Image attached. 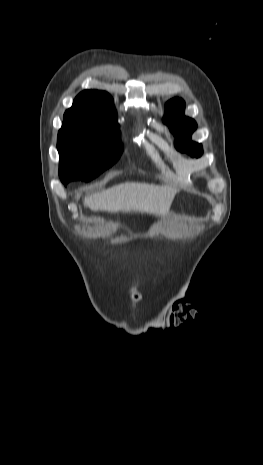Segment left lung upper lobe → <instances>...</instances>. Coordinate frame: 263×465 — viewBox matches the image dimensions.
Wrapping results in <instances>:
<instances>
[{
    "label": "left lung upper lobe",
    "instance_id": "5c2ea615",
    "mask_svg": "<svg viewBox=\"0 0 263 465\" xmlns=\"http://www.w3.org/2000/svg\"><path fill=\"white\" fill-rule=\"evenodd\" d=\"M185 103L182 99L174 98L166 104V114L163 118L171 132L177 137L175 147L191 156L200 157L203 153L202 145L191 140V135L197 128L196 122L184 116Z\"/></svg>",
    "mask_w": 263,
    "mask_h": 465
}]
</instances>
